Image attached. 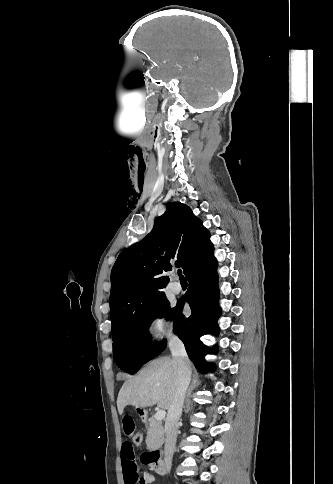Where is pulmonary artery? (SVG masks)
<instances>
[{
  "mask_svg": "<svg viewBox=\"0 0 333 484\" xmlns=\"http://www.w3.org/2000/svg\"><path fill=\"white\" fill-rule=\"evenodd\" d=\"M170 288L175 294H179L182 292V286L178 281H173L170 285Z\"/></svg>",
  "mask_w": 333,
  "mask_h": 484,
  "instance_id": "e3ab8cb5",
  "label": "pulmonary artery"
}]
</instances>
